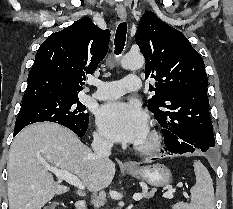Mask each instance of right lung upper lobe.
<instances>
[{
    "label": "right lung upper lobe",
    "mask_w": 233,
    "mask_h": 209,
    "mask_svg": "<svg viewBox=\"0 0 233 209\" xmlns=\"http://www.w3.org/2000/svg\"><path fill=\"white\" fill-rule=\"evenodd\" d=\"M109 41L110 31L89 17L49 36L36 53L22 103L78 98L86 75L105 58Z\"/></svg>",
    "instance_id": "cb5924a9"
}]
</instances>
